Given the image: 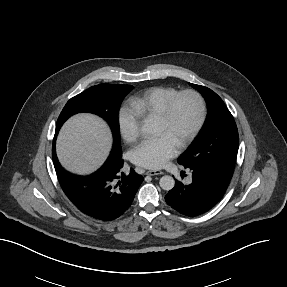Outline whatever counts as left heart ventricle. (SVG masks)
<instances>
[{
	"mask_svg": "<svg viewBox=\"0 0 287 287\" xmlns=\"http://www.w3.org/2000/svg\"><path fill=\"white\" fill-rule=\"evenodd\" d=\"M198 117V107L190 96L180 98L175 104L171 121L168 125L157 122V136H166L177 146L187 136Z\"/></svg>",
	"mask_w": 287,
	"mask_h": 287,
	"instance_id": "b2bd125f",
	"label": "left heart ventricle"
}]
</instances>
